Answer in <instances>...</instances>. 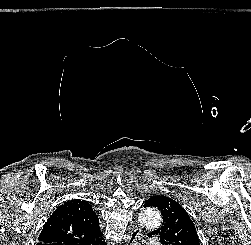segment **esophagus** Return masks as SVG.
Listing matches in <instances>:
<instances>
[{
    "label": "esophagus",
    "mask_w": 251,
    "mask_h": 245,
    "mask_svg": "<svg viewBox=\"0 0 251 245\" xmlns=\"http://www.w3.org/2000/svg\"><path fill=\"white\" fill-rule=\"evenodd\" d=\"M140 235H141V228L138 226H134L129 231L126 245H140V242H139Z\"/></svg>",
    "instance_id": "obj_1"
}]
</instances>
